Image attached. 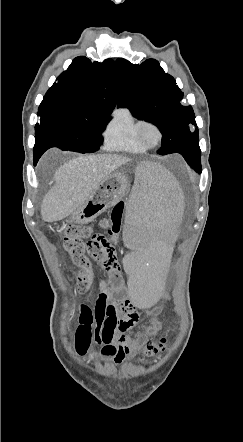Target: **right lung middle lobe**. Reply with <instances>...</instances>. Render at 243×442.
Masks as SVG:
<instances>
[{"label": "right lung middle lobe", "mask_w": 243, "mask_h": 442, "mask_svg": "<svg viewBox=\"0 0 243 442\" xmlns=\"http://www.w3.org/2000/svg\"><path fill=\"white\" fill-rule=\"evenodd\" d=\"M40 123L35 126L34 151L44 153L51 147L91 153L103 142L101 131L109 122L108 112H80L54 102L42 101L38 108Z\"/></svg>", "instance_id": "1"}]
</instances>
